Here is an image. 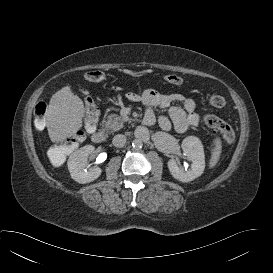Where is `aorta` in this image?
Here are the masks:
<instances>
[{
  "instance_id": "obj_1",
  "label": "aorta",
  "mask_w": 273,
  "mask_h": 273,
  "mask_svg": "<svg viewBox=\"0 0 273 273\" xmlns=\"http://www.w3.org/2000/svg\"><path fill=\"white\" fill-rule=\"evenodd\" d=\"M132 146L134 147V148H141L142 146H143V142H142V140L141 139H134L133 140V142H132Z\"/></svg>"
}]
</instances>
